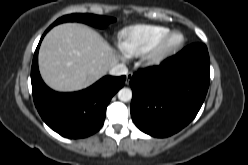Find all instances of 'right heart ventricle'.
Instances as JSON below:
<instances>
[{"mask_svg": "<svg viewBox=\"0 0 248 165\" xmlns=\"http://www.w3.org/2000/svg\"><path fill=\"white\" fill-rule=\"evenodd\" d=\"M169 28L159 25H137L126 29L121 36L120 48L128 56H137L149 50Z\"/></svg>", "mask_w": 248, "mask_h": 165, "instance_id": "1", "label": "right heart ventricle"}]
</instances>
